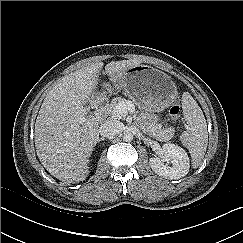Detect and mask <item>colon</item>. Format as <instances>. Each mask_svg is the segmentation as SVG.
Instances as JSON below:
<instances>
[{
  "mask_svg": "<svg viewBox=\"0 0 243 243\" xmlns=\"http://www.w3.org/2000/svg\"><path fill=\"white\" fill-rule=\"evenodd\" d=\"M180 116V107L178 105H174L169 110V118L172 122H177Z\"/></svg>",
  "mask_w": 243,
  "mask_h": 243,
  "instance_id": "obj_1",
  "label": "colon"
}]
</instances>
